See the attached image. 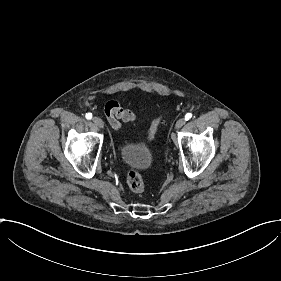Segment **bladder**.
Instances as JSON below:
<instances>
[{"instance_id":"1","label":"bladder","mask_w":281,"mask_h":281,"mask_svg":"<svg viewBox=\"0 0 281 281\" xmlns=\"http://www.w3.org/2000/svg\"><path fill=\"white\" fill-rule=\"evenodd\" d=\"M121 157L126 164L135 167H146L151 159L149 150L138 145L123 146Z\"/></svg>"}]
</instances>
